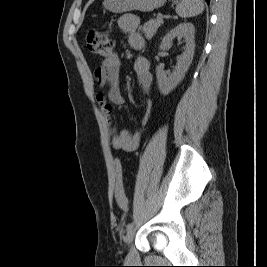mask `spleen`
Listing matches in <instances>:
<instances>
[{"instance_id":"obj_1","label":"spleen","mask_w":267,"mask_h":267,"mask_svg":"<svg viewBox=\"0 0 267 267\" xmlns=\"http://www.w3.org/2000/svg\"><path fill=\"white\" fill-rule=\"evenodd\" d=\"M204 10L203 0H181L176 6V13L182 18L194 17Z\"/></svg>"}]
</instances>
